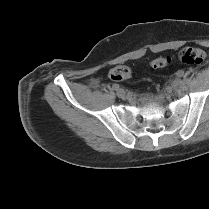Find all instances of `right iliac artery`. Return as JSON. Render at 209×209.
I'll use <instances>...</instances> for the list:
<instances>
[{"mask_svg":"<svg viewBox=\"0 0 209 209\" xmlns=\"http://www.w3.org/2000/svg\"><path fill=\"white\" fill-rule=\"evenodd\" d=\"M112 87H113L114 90H118L119 89V85L118 84H113Z\"/></svg>","mask_w":209,"mask_h":209,"instance_id":"right-iliac-artery-1","label":"right iliac artery"}]
</instances>
